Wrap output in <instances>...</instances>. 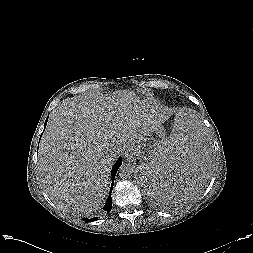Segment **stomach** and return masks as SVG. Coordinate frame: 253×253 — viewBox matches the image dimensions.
Returning a JSON list of instances; mask_svg holds the SVG:
<instances>
[{
	"label": "stomach",
	"mask_w": 253,
	"mask_h": 253,
	"mask_svg": "<svg viewBox=\"0 0 253 253\" xmlns=\"http://www.w3.org/2000/svg\"><path fill=\"white\" fill-rule=\"evenodd\" d=\"M166 137L165 130L162 126L150 131L143 140L134 144L132 155L141 160L138 167L139 173L142 166L151 160L156 153L161 141ZM140 183V182H139Z\"/></svg>",
	"instance_id": "stomach-1"
}]
</instances>
